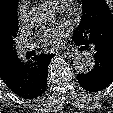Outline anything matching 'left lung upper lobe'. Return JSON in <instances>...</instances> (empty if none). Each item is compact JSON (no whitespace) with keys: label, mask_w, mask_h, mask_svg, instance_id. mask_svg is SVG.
<instances>
[{"label":"left lung upper lobe","mask_w":113,"mask_h":113,"mask_svg":"<svg viewBox=\"0 0 113 113\" xmlns=\"http://www.w3.org/2000/svg\"><path fill=\"white\" fill-rule=\"evenodd\" d=\"M83 17L73 34V39L88 40V44L96 40H113V15L104 0H81Z\"/></svg>","instance_id":"5c2ea615"}]
</instances>
